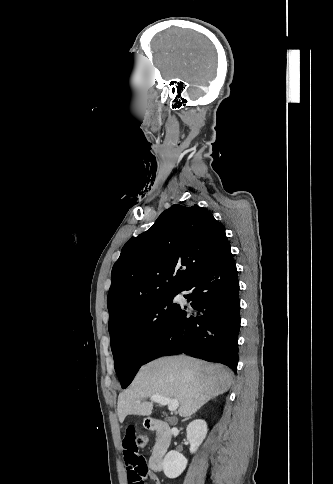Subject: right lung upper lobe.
<instances>
[{
	"label": "right lung upper lobe",
	"mask_w": 333,
	"mask_h": 484,
	"mask_svg": "<svg viewBox=\"0 0 333 484\" xmlns=\"http://www.w3.org/2000/svg\"><path fill=\"white\" fill-rule=\"evenodd\" d=\"M229 245L225 227L198 205H172L129 240L111 273L109 325L157 297L181 291Z\"/></svg>",
	"instance_id": "1"
}]
</instances>
